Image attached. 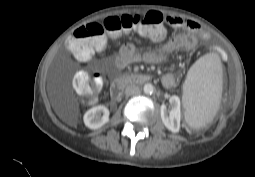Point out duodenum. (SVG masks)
Returning <instances> with one entry per match:
<instances>
[{
    "mask_svg": "<svg viewBox=\"0 0 255 177\" xmlns=\"http://www.w3.org/2000/svg\"><path fill=\"white\" fill-rule=\"evenodd\" d=\"M152 77L148 74H126L117 77L111 84V94L115 99H119L124 87L128 84H143L150 81Z\"/></svg>",
    "mask_w": 255,
    "mask_h": 177,
    "instance_id": "410a0bca",
    "label": "duodenum"
}]
</instances>
